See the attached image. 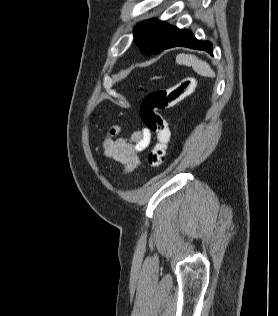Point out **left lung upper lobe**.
Returning <instances> with one entry per match:
<instances>
[{"label": "left lung upper lobe", "instance_id": "5c2ea615", "mask_svg": "<svg viewBox=\"0 0 278 316\" xmlns=\"http://www.w3.org/2000/svg\"><path fill=\"white\" fill-rule=\"evenodd\" d=\"M134 29L137 45L148 56L164 50L178 31L177 27L157 19L140 22Z\"/></svg>", "mask_w": 278, "mask_h": 316}]
</instances>
